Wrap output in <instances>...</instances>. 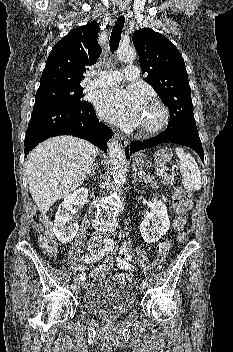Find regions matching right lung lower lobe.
<instances>
[{
	"label": "right lung lower lobe",
	"instance_id": "right-lung-lower-lobe-1",
	"mask_svg": "<svg viewBox=\"0 0 233 352\" xmlns=\"http://www.w3.org/2000/svg\"><path fill=\"white\" fill-rule=\"evenodd\" d=\"M59 135L85 139L107 152V142L113 131L99 122L89 102L73 107L35 109L26 131L25 156L40 142Z\"/></svg>",
	"mask_w": 233,
	"mask_h": 352
}]
</instances>
